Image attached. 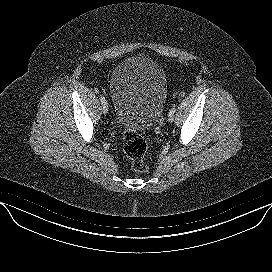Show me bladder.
Segmentation results:
<instances>
[{"instance_id":"obj_1","label":"bladder","mask_w":272,"mask_h":272,"mask_svg":"<svg viewBox=\"0 0 272 272\" xmlns=\"http://www.w3.org/2000/svg\"><path fill=\"white\" fill-rule=\"evenodd\" d=\"M117 121L128 132L150 128L160 118L167 99L163 67L145 56H133L114 69L109 85Z\"/></svg>"}]
</instances>
